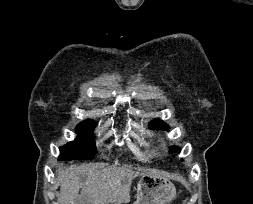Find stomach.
<instances>
[{
    "instance_id": "1",
    "label": "stomach",
    "mask_w": 253,
    "mask_h": 204,
    "mask_svg": "<svg viewBox=\"0 0 253 204\" xmlns=\"http://www.w3.org/2000/svg\"><path fill=\"white\" fill-rule=\"evenodd\" d=\"M176 197L174 184L154 172L142 174L137 185V200L134 204H169Z\"/></svg>"
}]
</instances>
